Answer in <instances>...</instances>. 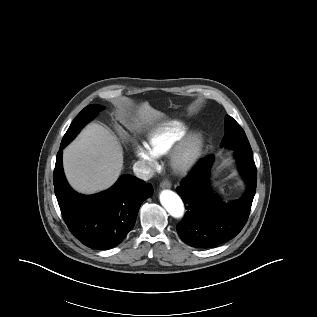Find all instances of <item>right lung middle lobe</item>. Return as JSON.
<instances>
[{
    "label": "right lung middle lobe",
    "instance_id": "right-lung-middle-lobe-1",
    "mask_svg": "<svg viewBox=\"0 0 317 317\" xmlns=\"http://www.w3.org/2000/svg\"><path fill=\"white\" fill-rule=\"evenodd\" d=\"M102 109L103 107L98 104H92L85 107L73 120L61 143L68 144L78 134L83 126L92 120L96 113Z\"/></svg>",
    "mask_w": 317,
    "mask_h": 317
}]
</instances>
